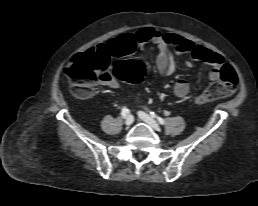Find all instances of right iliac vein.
<instances>
[{
  "label": "right iliac vein",
  "instance_id": "63e3f726",
  "mask_svg": "<svg viewBox=\"0 0 258 206\" xmlns=\"http://www.w3.org/2000/svg\"><path fill=\"white\" fill-rule=\"evenodd\" d=\"M133 122H134V117L130 114L127 115V117L125 118V125L130 126L132 125Z\"/></svg>",
  "mask_w": 258,
  "mask_h": 206
}]
</instances>
